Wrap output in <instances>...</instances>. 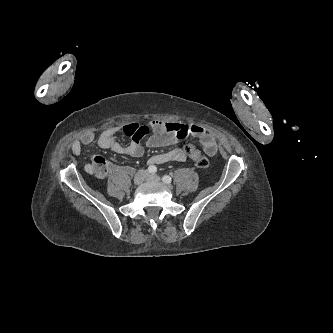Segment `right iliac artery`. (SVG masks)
<instances>
[{"label": "right iliac artery", "mask_w": 333, "mask_h": 333, "mask_svg": "<svg viewBox=\"0 0 333 333\" xmlns=\"http://www.w3.org/2000/svg\"><path fill=\"white\" fill-rule=\"evenodd\" d=\"M148 171H149L150 173H155V172L157 171V168H156V166H154V165H150V166L148 167Z\"/></svg>", "instance_id": "right-iliac-artery-1"}]
</instances>
